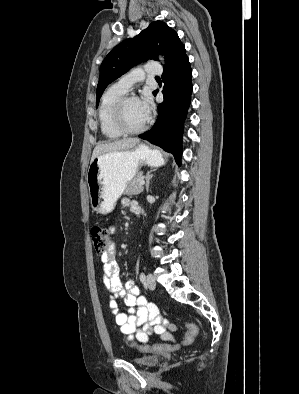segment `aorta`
Segmentation results:
<instances>
[{
    "label": "aorta",
    "mask_w": 299,
    "mask_h": 394,
    "mask_svg": "<svg viewBox=\"0 0 299 394\" xmlns=\"http://www.w3.org/2000/svg\"><path fill=\"white\" fill-rule=\"evenodd\" d=\"M160 59L163 61V58H162V57H160Z\"/></svg>",
    "instance_id": "aorta-1"
}]
</instances>
